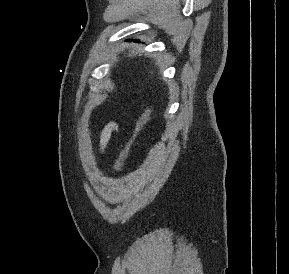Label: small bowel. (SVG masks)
<instances>
[{"label": "small bowel", "instance_id": "1", "mask_svg": "<svg viewBox=\"0 0 289 274\" xmlns=\"http://www.w3.org/2000/svg\"><path fill=\"white\" fill-rule=\"evenodd\" d=\"M118 133V124L116 122H108L100 133L99 139V153L103 155L106 151V148L114 135Z\"/></svg>", "mask_w": 289, "mask_h": 274}]
</instances>
